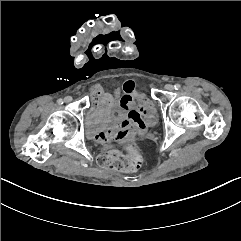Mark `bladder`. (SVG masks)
I'll use <instances>...</instances> for the list:
<instances>
[{
    "instance_id": "1",
    "label": "bladder",
    "mask_w": 241,
    "mask_h": 241,
    "mask_svg": "<svg viewBox=\"0 0 241 241\" xmlns=\"http://www.w3.org/2000/svg\"><path fill=\"white\" fill-rule=\"evenodd\" d=\"M115 114H116L118 117H120V116L123 114V109H122L121 105H118V106L116 107Z\"/></svg>"
}]
</instances>
